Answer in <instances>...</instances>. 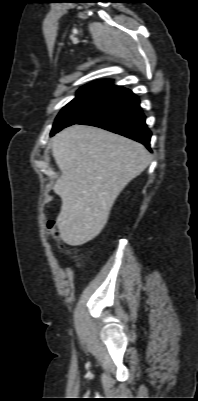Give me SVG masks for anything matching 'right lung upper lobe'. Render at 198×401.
I'll return each mask as SVG.
<instances>
[{"label":"right lung upper lobe","mask_w":198,"mask_h":401,"mask_svg":"<svg viewBox=\"0 0 198 401\" xmlns=\"http://www.w3.org/2000/svg\"><path fill=\"white\" fill-rule=\"evenodd\" d=\"M114 88H116V86L112 85L111 80H99V81H95V82H92V83L82 86L79 91H82V90L112 91Z\"/></svg>","instance_id":"right-lung-upper-lobe-1"}]
</instances>
